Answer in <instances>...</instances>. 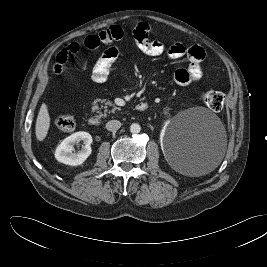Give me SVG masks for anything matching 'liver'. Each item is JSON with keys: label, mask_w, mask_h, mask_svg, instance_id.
I'll use <instances>...</instances> for the list:
<instances>
[{"label": "liver", "mask_w": 267, "mask_h": 267, "mask_svg": "<svg viewBox=\"0 0 267 267\" xmlns=\"http://www.w3.org/2000/svg\"><path fill=\"white\" fill-rule=\"evenodd\" d=\"M49 127L50 116L48 113L47 105L43 103L40 107L35 126V134L38 141H43L46 138Z\"/></svg>", "instance_id": "1"}]
</instances>
